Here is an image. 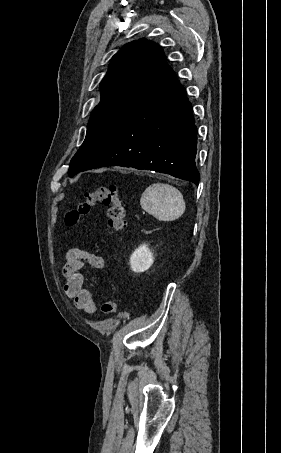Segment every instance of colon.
<instances>
[{"mask_svg":"<svg viewBox=\"0 0 281 453\" xmlns=\"http://www.w3.org/2000/svg\"><path fill=\"white\" fill-rule=\"evenodd\" d=\"M100 204L109 208V217L104 228L107 235L127 229L125 201L121 186L117 183L100 187L95 192L85 194L76 206L67 213L66 225L69 227L82 225L89 217L91 209ZM119 302L118 297L105 300L101 305L102 314L105 316L113 315L117 311Z\"/></svg>","mask_w":281,"mask_h":453,"instance_id":"colon-1","label":"colon"}]
</instances>
